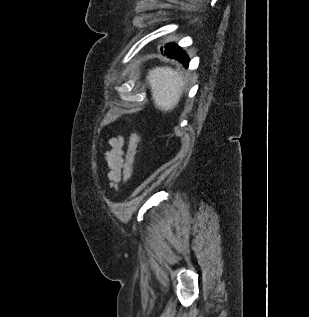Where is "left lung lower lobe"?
I'll return each mask as SVG.
<instances>
[{
  "instance_id": "left-lung-lower-lobe-1",
  "label": "left lung lower lobe",
  "mask_w": 309,
  "mask_h": 317,
  "mask_svg": "<svg viewBox=\"0 0 309 317\" xmlns=\"http://www.w3.org/2000/svg\"><path fill=\"white\" fill-rule=\"evenodd\" d=\"M165 55L169 58L178 60L179 62L183 63L184 66L188 67L189 57L177 44H167L165 46Z\"/></svg>"
}]
</instances>
